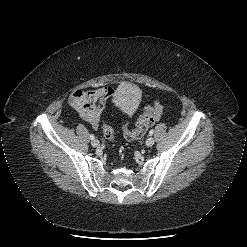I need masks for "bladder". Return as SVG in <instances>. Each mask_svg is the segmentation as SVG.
Instances as JSON below:
<instances>
[{
    "mask_svg": "<svg viewBox=\"0 0 247 247\" xmlns=\"http://www.w3.org/2000/svg\"><path fill=\"white\" fill-rule=\"evenodd\" d=\"M125 87H126L127 89H130V90L134 91L136 95L138 94L137 87H135L134 85H132V84H127Z\"/></svg>",
    "mask_w": 247,
    "mask_h": 247,
    "instance_id": "1",
    "label": "bladder"
}]
</instances>
